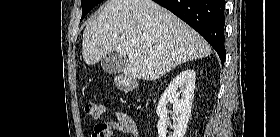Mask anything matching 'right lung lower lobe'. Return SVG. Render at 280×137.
Wrapping results in <instances>:
<instances>
[{"mask_svg": "<svg viewBox=\"0 0 280 137\" xmlns=\"http://www.w3.org/2000/svg\"><path fill=\"white\" fill-rule=\"evenodd\" d=\"M177 15L200 35L225 61V0H153Z\"/></svg>", "mask_w": 280, "mask_h": 137, "instance_id": "obj_1", "label": "right lung lower lobe"}]
</instances>
